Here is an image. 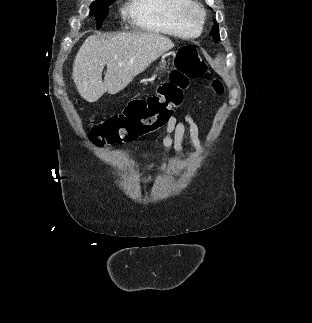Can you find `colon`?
Here are the masks:
<instances>
[{"mask_svg":"<svg viewBox=\"0 0 312 323\" xmlns=\"http://www.w3.org/2000/svg\"><path fill=\"white\" fill-rule=\"evenodd\" d=\"M175 69L169 73V80L163 81L157 94L132 100L125 113L111 118L103 124H94L89 130V140L96 146L123 144L142 138L168 121L174 108L184 100V93L190 80L203 76L207 69L197 47H180L174 55ZM209 87L217 94L224 91L220 80H213Z\"/></svg>","mask_w":312,"mask_h":323,"instance_id":"1","label":"colon"}]
</instances>
